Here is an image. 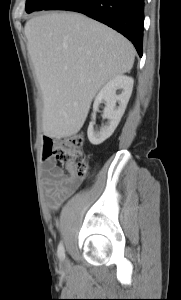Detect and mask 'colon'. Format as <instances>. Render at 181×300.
Instances as JSON below:
<instances>
[{
  "label": "colon",
  "instance_id": "obj_1",
  "mask_svg": "<svg viewBox=\"0 0 181 300\" xmlns=\"http://www.w3.org/2000/svg\"><path fill=\"white\" fill-rule=\"evenodd\" d=\"M82 144L80 136L48 139L45 141L44 155L54 156L72 178L82 179L87 173V163L82 157Z\"/></svg>",
  "mask_w": 181,
  "mask_h": 300
}]
</instances>
